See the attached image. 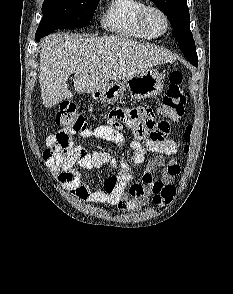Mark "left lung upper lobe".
<instances>
[{
  "instance_id": "5c2ea615",
  "label": "left lung upper lobe",
  "mask_w": 233,
  "mask_h": 294,
  "mask_svg": "<svg viewBox=\"0 0 233 294\" xmlns=\"http://www.w3.org/2000/svg\"><path fill=\"white\" fill-rule=\"evenodd\" d=\"M168 18L179 48L189 62L198 65L195 42L190 31L187 0H151Z\"/></svg>"
}]
</instances>
